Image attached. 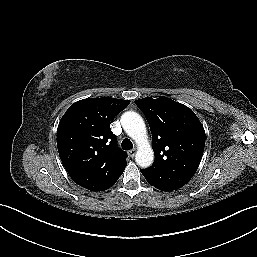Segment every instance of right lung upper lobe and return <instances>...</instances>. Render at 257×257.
Here are the masks:
<instances>
[{
	"instance_id": "cb5924a9",
	"label": "right lung upper lobe",
	"mask_w": 257,
	"mask_h": 257,
	"mask_svg": "<svg viewBox=\"0 0 257 257\" xmlns=\"http://www.w3.org/2000/svg\"><path fill=\"white\" fill-rule=\"evenodd\" d=\"M130 101L110 97L88 98L72 104L57 128V147L72 180L91 191L116 183L127 163L110 130V121Z\"/></svg>"
}]
</instances>
